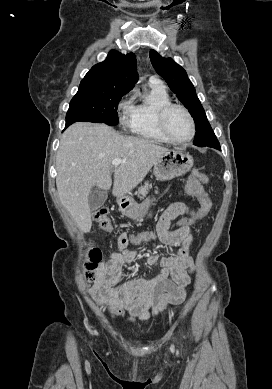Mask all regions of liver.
I'll return each instance as SVG.
<instances>
[{
  "label": "liver",
  "mask_w": 272,
  "mask_h": 389,
  "mask_svg": "<svg viewBox=\"0 0 272 389\" xmlns=\"http://www.w3.org/2000/svg\"><path fill=\"white\" fill-rule=\"evenodd\" d=\"M169 151L151 140L119 134L105 124L77 122L62 135L56 156V186L62 205L80 231L92 226L88 204L94 186L109 190L115 159L113 196L123 197L143 181L159 157Z\"/></svg>",
  "instance_id": "liver-1"
}]
</instances>
